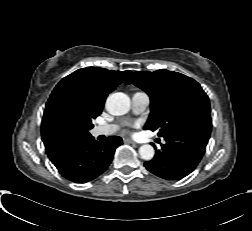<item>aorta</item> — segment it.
<instances>
[{"instance_id":"obj_1","label":"aorta","mask_w":252,"mask_h":231,"mask_svg":"<svg viewBox=\"0 0 252 231\" xmlns=\"http://www.w3.org/2000/svg\"><path fill=\"white\" fill-rule=\"evenodd\" d=\"M106 109L111 115H124L130 109V99L121 92L110 94L106 100ZM139 154L143 160L149 161L154 157L155 150L152 145L144 144L139 148Z\"/></svg>"}]
</instances>
